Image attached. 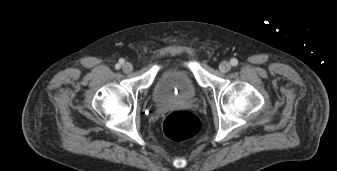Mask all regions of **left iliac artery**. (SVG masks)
Segmentation results:
<instances>
[{"mask_svg":"<svg viewBox=\"0 0 337 171\" xmlns=\"http://www.w3.org/2000/svg\"><path fill=\"white\" fill-rule=\"evenodd\" d=\"M230 63H231L232 66H237L238 65V60L236 58H232L230 60Z\"/></svg>","mask_w":337,"mask_h":171,"instance_id":"44dca946","label":"left iliac artery"}]
</instances>
